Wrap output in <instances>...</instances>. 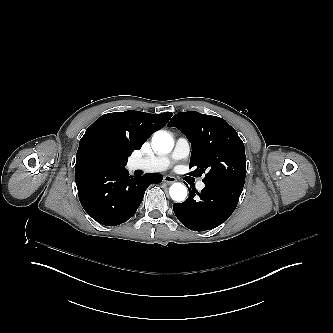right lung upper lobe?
Returning a JSON list of instances; mask_svg holds the SVG:
<instances>
[{
  "label": "right lung upper lobe",
  "instance_id": "1",
  "mask_svg": "<svg viewBox=\"0 0 333 333\" xmlns=\"http://www.w3.org/2000/svg\"><path fill=\"white\" fill-rule=\"evenodd\" d=\"M172 113L150 114L140 111L114 112L102 115L89 126L80 140L76 165L84 163L87 151L101 145L120 159H127L134 150L157 130L163 128Z\"/></svg>",
  "mask_w": 333,
  "mask_h": 333
}]
</instances>
